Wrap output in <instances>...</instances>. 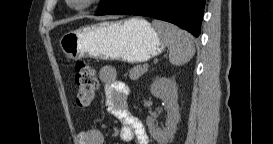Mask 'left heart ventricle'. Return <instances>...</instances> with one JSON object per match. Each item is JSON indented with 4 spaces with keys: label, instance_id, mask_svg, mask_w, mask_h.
Masks as SVG:
<instances>
[{
    "label": "left heart ventricle",
    "instance_id": "1",
    "mask_svg": "<svg viewBox=\"0 0 273 144\" xmlns=\"http://www.w3.org/2000/svg\"><path fill=\"white\" fill-rule=\"evenodd\" d=\"M75 2H80L81 0H74Z\"/></svg>",
    "mask_w": 273,
    "mask_h": 144
}]
</instances>
